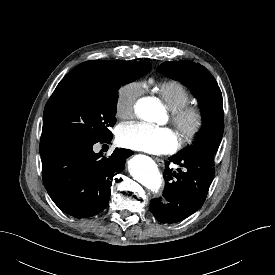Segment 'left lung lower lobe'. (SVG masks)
Here are the masks:
<instances>
[{
  "label": "left lung lower lobe",
  "instance_id": "1",
  "mask_svg": "<svg viewBox=\"0 0 275 275\" xmlns=\"http://www.w3.org/2000/svg\"><path fill=\"white\" fill-rule=\"evenodd\" d=\"M172 162L185 170L173 171L169 167ZM214 155L195 153L189 155H173L165 164L164 198L167 205L160 199H153L150 211L162 223H175L187 218L201 208L214 178Z\"/></svg>",
  "mask_w": 275,
  "mask_h": 275
}]
</instances>
